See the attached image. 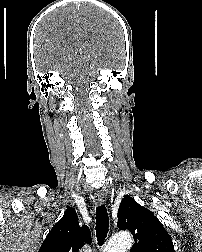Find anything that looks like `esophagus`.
Returning a JSON list of instances; mask_svg holds the SVG:
<instances>
[{
    "label": "esophagus",
    "instance_id": "1",
    "mask_svg": "<svg viewBox=\"0 0 202 252\" xmlns=\"http://www.w3.org/2000/svg\"><path fill=\"white\" fill-rule=\"evenodd\" d=\"M93 200L94 203L98 206L102 205L105 201L103 194L100 193L99 191L94 194Z\"/></svg>",
    "mask_w": 202,
    "mask_h": 252
}]
</instances>
